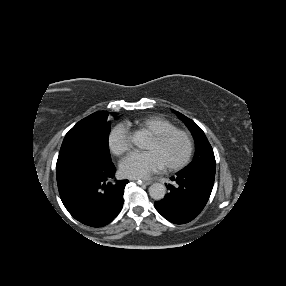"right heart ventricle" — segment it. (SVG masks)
Masks as SVG:
<instances>
[{
	"instance_id": "e07e8e85",
	"label": "right heart ventricle",
	"mask_w": 286,
	"mask_h": 286,
	"mask_svg": "<svg viewBox=\"0 0 286 286\" xmlns=\"http://www.w3.org/2000/svg\"><path fill=\"white\" fill-rule=\"evenodd\" d=\"M125 125L138 130H146L151 135L178 128L174 122L162 116H148L134 122L128 121Z\"/></svg>"
}]
</instances>
